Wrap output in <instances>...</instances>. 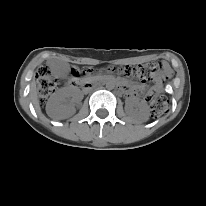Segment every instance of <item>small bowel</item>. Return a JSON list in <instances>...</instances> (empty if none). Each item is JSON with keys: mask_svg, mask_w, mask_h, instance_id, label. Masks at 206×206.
<instances>
[{"mask_svg": "<svg viewBox=\"0 0 206 206\" xmlns=\"http://www.w3.org/2000/svg\"><path fill=\"white\" fill-rule=\"evenodd\" d=\"M164 69L167 71L168 70V66L164 64ZM156 81H157V84L158 86L160 85V82H161V76L160 75H157L156 76Z\"/></svg>", "mask_w": 206, "mask_h": 206, "instance_id": "c3829d8e", "label": "small bowel"}]
</instances>
